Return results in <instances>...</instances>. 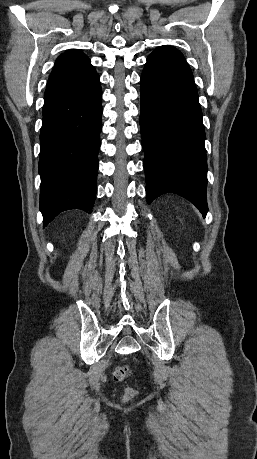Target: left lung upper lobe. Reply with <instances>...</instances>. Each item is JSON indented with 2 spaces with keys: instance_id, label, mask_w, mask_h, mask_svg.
<instances>
[{
  "instance_id": "left-lung-upper-lobe-1",
  "label": "left lung upper lobe",
  "mask_w": 257,
  "mask_h": 459,
  "mask_svg": "<svg viewBox=\"0 0 257 459\" xmlns=\"http://www.w3.org/2000/svg\"><path fill=\"white\" fill-rule=\"evenodd\" d=\"M163 47H169V46H162V47H160V48H163ZM172 48H173V47H172Z\"/></svg>"
}]
</instances>
